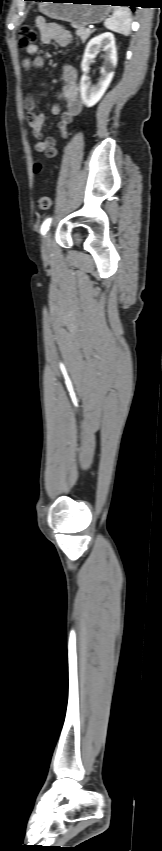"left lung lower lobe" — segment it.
Masks as SVG:
<instances>
[{"label": "left lung lower lobe", "instance_id": "left-lung-lower-lobe-1", "mask_svg": "<svg viewBox=\"0 0 162 851\" xmlns=\"http://www.w3.org/2000/svg\"><path fill=\"white\" fill-rule=\"evenodd\" d=\"M30 1H42V0H30ZM106 3H110L111 5H123L134 7L130 0H106Z\"/></svg>", "mask_w": 162, "mask_h": 851}]
</instances>
